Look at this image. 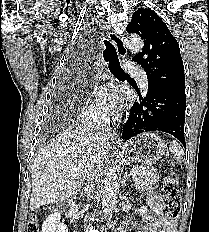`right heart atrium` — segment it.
Here are the masks:
<instances>
[{"instance_id": "d8ad5b80", "label": "right heart atrium", "mask_w": 209, "mask_h": 232, "mask_svg": "<svg viewBox=\"0 0 209 232\" xmlns=\"http://www.w3.org/2000/svg\"><path fill=\"white\" fill-rule=\"evenodd\" d=\"M80 120L83 124L92 126L101 124L104 117L96 104L88 102L80 114Z\"/></svg>"}]
</instances>
